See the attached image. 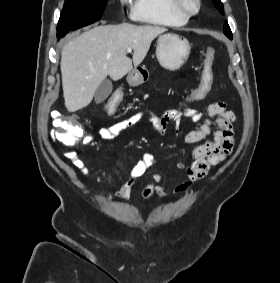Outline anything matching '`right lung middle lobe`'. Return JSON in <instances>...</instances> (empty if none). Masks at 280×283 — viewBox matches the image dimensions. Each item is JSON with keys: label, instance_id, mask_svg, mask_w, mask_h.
Wrapping results in <instances>:
<instances>
[{"label": "right lung middle lobe", "instance_id": "dd1d6c3e", "mask_svg": "<svg viewBox=\"0 0 280 283\" xmlns=\"http://www.w3.org/2000/svg\"><path fill=\"white\" fill-rule=\"evenodd\" d=\"M107 0H65L57 25V38L101 19Z\"/></svg>", "mask_w": 280, "mask_h": 283}]
</instances>
